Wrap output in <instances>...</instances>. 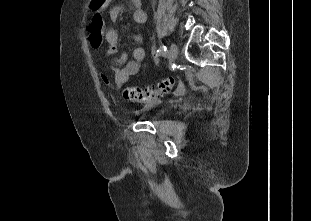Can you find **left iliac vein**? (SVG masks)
Returning a JSON list of instances; mask_svg holds the SVG:
<instances>
[{
    "label": "left iliac vein",
    "mask_w": 311,
    "mask_h": 221,
    "mask_svg": "<svg viewBox=\"0 0 311 221\" xmlns=\"http://www.w3.org/2000/svg\"><path fill=\"white\" fill-rule=\"evenodd\" d=\"M177 56H178V47L175 43H171L168 54L169 63L172 64L176 60Z\"/></svg>",
    "instance_id": "left-iliac-vein-1"
}]
</instances>
